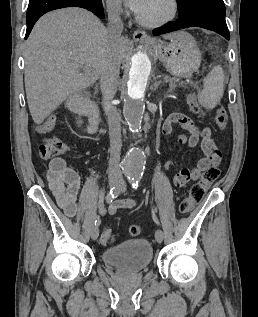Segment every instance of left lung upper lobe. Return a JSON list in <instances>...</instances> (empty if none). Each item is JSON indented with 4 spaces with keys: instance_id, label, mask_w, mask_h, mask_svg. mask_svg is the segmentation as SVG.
<instances>
[{
    "instance_id": "obj_1",
    "label": "left lung upper lobe",
    "mask_w": 258,
    "mask_h": 317,
    "mask_svg": "<svg viewBox=\"0 0 258 317\" xmlns=\"http://www.w3.org/2000/svg\"><path fill=\"white\" fill-rule=\"evenodd\" d=\"M196 1L197 0H177L179 16L185 15L189 11L190 6Z\"/></svg>"
}]
</instances>
